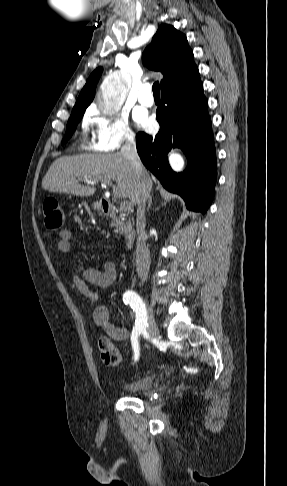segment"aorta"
I'll use <instances>...</instances> for the list:
<instances>
[{
    "label": "aorta",
    "instance_id": "762f6f07",
    "mask_svg": "<svg viewBox=\"0 0 287 486\" xmlns=\"http://www.w3.org/2000/svg\"><path fill=\"white\" fill-rule=\"evenodd\" d=\"M129 89L130 81L126 74L116 73L108 77L103 83L101 90L100 110L107 115H113L118 112L126 99ZM173 167L175 170H180L182 164L180 161H177L173 164Z\"/></svg>",
    "mask_w": 287,
    "mask_h": 486
}]
</instances>
